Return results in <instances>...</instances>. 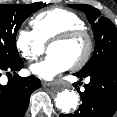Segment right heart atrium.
<instances>
[{
    "label": "right heart atrium",
    "instance_id": "d8ad5b80",
    "mask_svg": "<svg viewBox=\"0 0 117 117\" xmlns=\"http://www.w3.org/2000/svg\"><path fill=\"white\" fill-rule=\"evenodd\" d=\"M15 46L20 55L28 60L38 59L45 51V43L33 30L20 28L15 35Z\"/></svg>",
    "mask_w": 117,
    "mask_h": 117
}]
</instances>
